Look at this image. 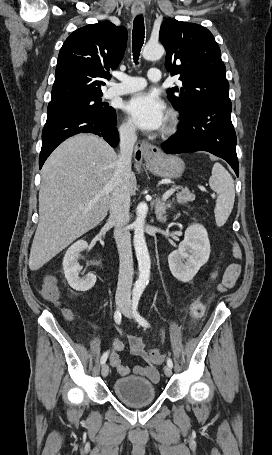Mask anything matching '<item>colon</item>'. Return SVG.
I'll return each mask as SVG.
<instances>
[{
	"mask_svg": "<svg viewBox=\"0 0 272 455\" xmlns=\"http://www.w3.org/2000/svg\"><path fill=\"white\" fill-rule=\"evenodd\" d=\"M221 268V261L217 264L215 269L210 275L211 282L215 281L219 275ZM43 297L49 301H56L58 299V290L54 280L51 277H48L45 281L42 290ZM191 316L193 318L194 324L201 320L205 314V304L202 301H196L192 304L190 310ZM164 354L157 349H152L149 351V359L155 364H160L164 361Z\"/></svg>",
	"mask_w": 272,
	"mask_h": 455,
	"instance_id": "5ec220e1",
	"label": "colon"
}]
</instances>
